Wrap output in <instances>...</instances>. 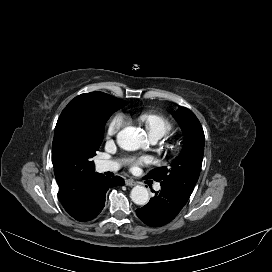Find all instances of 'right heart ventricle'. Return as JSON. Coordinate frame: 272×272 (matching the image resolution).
<instances>
[{
    "label": "right heart ventricle",
    "instance_id": "right-heart-ventricle-1",
    "mask_svg": "<svg viewBox=\"0 0 272 272\" xmlns=\"http://www.w3.org/2000/svg\"><path fill=\"white\" fill-rule=\"evenodd\" d=\"M141 119L145 123L150 137L159 136L162 138L172 130V124L163 116L145 113L141 115Z\"/></svg>",
    "mask_w": 272,
    "mask_h": 272
}]
</instances>
